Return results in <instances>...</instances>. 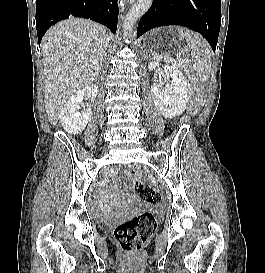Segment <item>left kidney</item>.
I'll return each mask as SVG.
<instances>
[{
    "label": "left kidney",
    "instance_id": "1",
    "mask_svg": "<svg viewBox=\"0 0 265 273\" xmlns=\"http://www.w3.org/2000/svg\"><path fill=\"white\" fill-rule=\"evenodd\" d=\"M158 61L148 64L149 71L159 67ZM164 73L172 79L171 84L163 89L155 81L151 86V95L155 107L165 118H173L182 114L188 101V84L183 73L174 65H164Z\"/></svg>",
    "mask_w": 265,
    "mask_h": 273
}]
</instances>
